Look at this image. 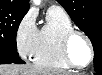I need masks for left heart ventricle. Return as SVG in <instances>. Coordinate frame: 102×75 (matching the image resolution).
<instances>
[{
    "mask_svg": "<svg viewBox=\"0 0 102 75\" xmlns=\"http://www.w3.org/2000/svg\"><path fill=\"white\" fill-rule=\"evenodd\" d=\"M70 52L77 64L86 63L89 57V48L86 41L81 37H75L70 45Z\"/></svg>",
    "mask_w": 102,
    "mask_h": 75,
    "instance_id": "b2bd125f",
    "label": "left heart ventricle"
}]
</instances>
